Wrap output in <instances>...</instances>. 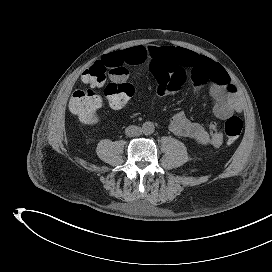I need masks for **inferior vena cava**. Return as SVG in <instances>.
I'll return each instance as SVG.
<instances>
[{
    "label": "inferior vena cava",
    "mask_w": 272,
    "mask_h": 272,
    "mask_svg": "<svg viewBox=\"0 0 272 272\" xmlns=\"http://www.w3.org/2000/svg\"><path fill=\"white\" fill-rule=\"evenodd\" d=\"M142 133V129L138 126L131 125L125 129V134L129 137L139 136Z\"/></svg>",
    "instance_id": "1"
}]
</instances>
